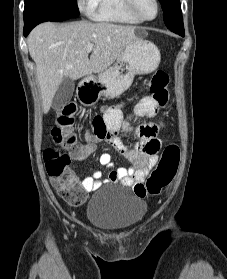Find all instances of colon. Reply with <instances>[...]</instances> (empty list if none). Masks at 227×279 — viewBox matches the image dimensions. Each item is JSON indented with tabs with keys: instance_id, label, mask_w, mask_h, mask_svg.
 Here are the masks:
<instances>
[{
	"instance_id": "1",
	"label": "colon",
	"mask_w": 227,
	"mask_h": 279,
	"mask_svg": "<svg viewBox=\"0 0 227 279\" xmlns=\"http://www.w3.org/2000/svg\"><path fill=\"white\" fill-rule=\"evenodd\" d=\"M167 84L168 76L164 71H157L145 82L142 90L150 93L148 98L151 101L144 108L158 109L165 107L169 103ZM76 111V106L73 103L66 104L57 110L51 134L56 145L67 147L72 155L82 158L87 155L88 150L77 142L73 133H65L62 130L64 125L73 123ZM92 126L96 134H101L106 130L113 131L117 129V126L106 128L104 119L101 116L93 118ZM140 132L143 136L153 135L154 133L153 129L149 127H141ZM157 150L158 146L155 143H148L143 146V152L147 156L153 155ZM43 161L50 179L55 178L57 180L55 187L59 195L68 203L78 204L81 200L78 195L79 180L69 168L70 154L56 147H48L44 150ZM179 162L180 149L178 145L174 143L168 144L156 168L146 180L144 188L139 183H130L134 193L139 197L159 195L173 181Z\"/></svg>"
}]
</instances>
